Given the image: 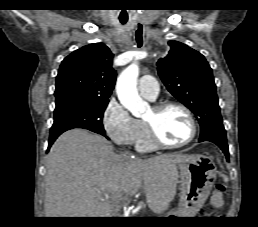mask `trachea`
Masks as SVG:
<instances>
[{
	"label": "trachea",
	"mask_w": 258,
	"mask_h": 227,
	"mask_svg": "<svg viewBox=\"0 0 258 227\" xmlns=\"http://www.w3.org/2000/svg\"><path fill=\"white\" fill-rule=\"evenodd\" d=\"M120 22L122 23V24H125L126 22H127V20H120Z\"/></svg>",
	"instance_id": "obj_1"
}]
</instances>
